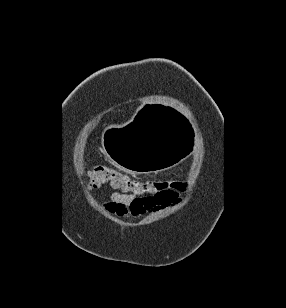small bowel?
<instances>
[{"label":"small bowel","mask_w":286,"mask_h":308,"mask_svg":"<svg viewBox=\"0 0 286 308\" xmlns=\"http://www.w3.org/2000/svg\"><path fill=\"white\" fill-rule=\"evenodd\" d=\"M181 201V191L171 190L162 197H139L133 194H113L104 204L107 211L118 216L132 215L139 217L147 211L157 210L163 206L177 204Z\"/></svg>","instance_id":"small-bowel-1"}]
</instances>
